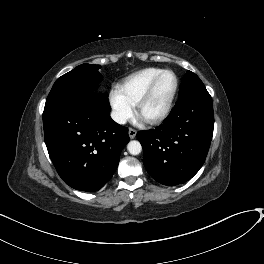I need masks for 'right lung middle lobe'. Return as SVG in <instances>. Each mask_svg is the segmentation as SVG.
<instances>
[{
	"label": "right lung middle lobe",
	"instance_id": "dd1d6c3e",
	"mask_svg": "<svg viewBox=\"0 0 264 264\" xmlns=\"http://www.w3.org/2000/svg\"><path fill=\"white\" fill-rule=\"evenodd\" d=\"M100 65L82 64L59 77L54 83L45 103V108L55 107L87 91L96 92L101 75Z\"/></svg>",
	"mask_w": 264,
	"mask_h": 264
}]
</instances>
